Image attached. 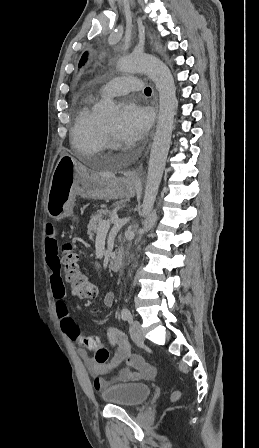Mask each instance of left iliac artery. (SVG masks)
<instances>
[{"mask_svg":"<svg viewBox=\"0 0 259 448\" xmlns=\"http://www.w3.org/2000/svg\"><path fill=\"white\" fill-rule=\"evenodd\" d=\"M121 318L123 320L128 321V322L132 321L133 318H132L131 312H130V310L128 308H123L122 309V311H121Z\"/></svg>","mask_w":259,"mask_h":448,"instance_id":"1","label":"left iliac artery"}]
</instances>
